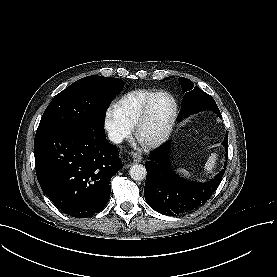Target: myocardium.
<instances>
[{"label": "myocardium", "mask_w": 277, "mask_h": 277, "mask_svg": "<svg viewBox=\"0 0 277 277\" xmlns=\"http://www.w3.org/2000/svg\"><path fill=\"white\" fill-rule=\"evenodd\" d=\"M160 95L167 97L173 104V110H172V114H171L168 126H167L166 130L164 131V133L161 136H159L158 138L152 139V140L142 139L140 136L141 126L146 119V116H147V113H148V110L150 108L152 101L154 100L155 97L160 96ZM177 112H178V105H177L175 98L171 94H169L165 91H156V92L152 93L148 97V99L142 109V112L135 123L134 139L136 140V142L144 149H150V148H155L157 146H160L169 137V135L173 129L176 117H177Z\"/></svg>", "instance_id": "1"}]
</instances>
